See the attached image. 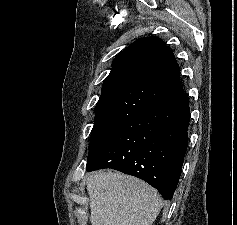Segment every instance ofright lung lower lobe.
<instances>
[{
	"mask_svg": "<svg viewBox=\"0 0 237 225\" xmlns=\"http://www.w3.org/2000/svg\"><path fill=\"white\" fill-rule=\"evenodd\" d=\"M188 94L142 111L109 134L88 155L86 170L111 168L136 176L171 199L188 146Z\"/></svg>",
	"mask_w": 237,
	"mask_h": 225,
	"instance_id": "obj_1",
	"label": "right lung lower lobe"
}]
</instances>
